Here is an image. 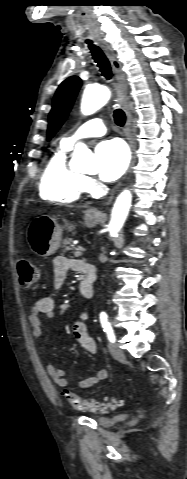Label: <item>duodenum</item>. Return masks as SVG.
<instances>
[{
    "mask_svg": "<svg viewBox=\"0 0 187 479\" xmlns=\"http://www.w3.org/2000/svg\"><path fill=\"white\" fill-rule=\"evenodd\" d=\"M94 282H95V269L94 270H87L85 272L84 280L81 281V283L79 285L80 293L82 294V296L84 298L91 299L94 296V292H95Z\"/></svg>",
    "mask_w": 187,
    "mask_h": 479,
    "instance_id": "410a0bca",
    "label": "duodenum"
}]
</instances>
